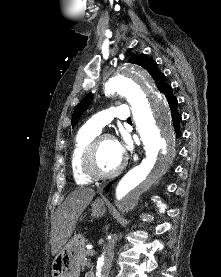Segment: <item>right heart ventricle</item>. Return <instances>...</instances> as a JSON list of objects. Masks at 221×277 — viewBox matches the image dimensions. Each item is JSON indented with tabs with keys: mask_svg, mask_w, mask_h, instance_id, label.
Masks as SVG:
<instances>
[{
	"mask_svg": "<svg viewBox=\"0 0 221 277\" xmlns=\"http://www.w3.org/2000/svg\"><path fill=\"white\" fill-rule=\"evenodd\" d=\"M97 135L98 132L83 127L79 130L74 139L71 153V170L73 178L77 184L83 185L91 182V179L86 177L81 170V160L86 148Z\"/></svg>",
	"mask_w": 221,
	"mask_h": 277,
	"instance_id": "1",
	"label": "right heart ventricle"
}]
</instances>
